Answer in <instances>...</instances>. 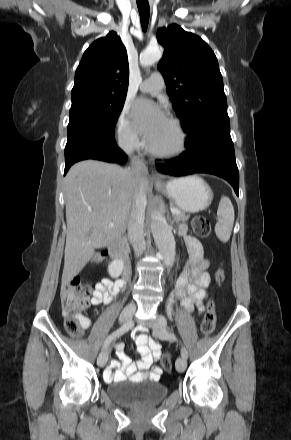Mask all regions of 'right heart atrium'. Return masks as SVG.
Wrapping results in <instances>:
<instances>
[{
  "instance_id": "right-heart-atrium-1",
  "label": "right heart atrium",
  "mask_w": 291,
  "mask_h": 440,
  "mask_svg": "<svg viewBox=\"0 0 291 440\" xmlns=\"http://www.w3.org/2000/svg\"><path fill=\"white\" fill-rule=\"evenodd\" d=\"M116 139L119 147L127 152H133L140 146V139L133 123L128 117L127 108H123L116 125Z\"/></svg>"
}]
</instances>
